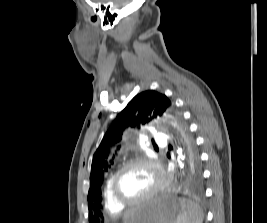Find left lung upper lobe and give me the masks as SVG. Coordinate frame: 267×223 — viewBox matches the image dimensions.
<instances>
[{"label": "left lung upper lobe", "mask_w": 267, "mask_h": 223, "mask_svg": "<svg viewBox=\"0 0 267 223\" xmlns=\"http://www.w3.org/2000/svg\"><path fill=\"white\" fill-rule=\"evenodd\" d=\"M157 117L169 121L178 132L185 149L187 171H202L195 141L173 102L164 94L153 90L144 91L136 95L118 114L93 155L87 197L89 214H95V217L106 214V206H101V186L109 163L114 158L115 144L121 141L124 131L129 127L140 129ZM95 217L94 223L97 219Z\"/></svg>", "instance_id": "obj_1"}]
</instances>
